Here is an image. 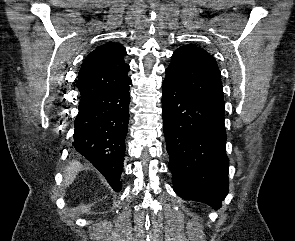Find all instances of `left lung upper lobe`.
Returning <instances> with one entry per match:
<instances>
[{
  "instance_id": "left-lung-upper-lobe-1",
  "label": "left lung upper lobe",
  "mask_w": 295,
  "mask_h": 241,
  "mask_svg": "<svg viewBox=\"0 0 295 241\" xmlns=\"http://www.w3.org/2000/svg\"><path fill=\"white\" fill-rule=\"evenodd\" d=\"M166 72L193 94L224 107L221 74L215 59L196 46H181Z\"/></svg>"
}]
</instances>
